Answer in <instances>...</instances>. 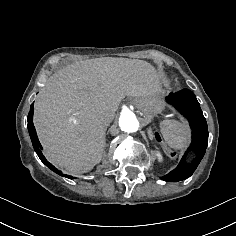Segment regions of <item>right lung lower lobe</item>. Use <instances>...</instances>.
<instances>
[{
  "mask_svg": "<svg viewBox=\"0 0 236 236\" xmlns=\"http://www.w3.org/2000/svg\"><path fill=\"white\" fill-rule=\"evenodd\" d=\"M33 111H34V103L31 104L30 107V112L28 114V130H29V134H30V138L33 144V147L37 153V155L39 156L40 160L48 167L50 168L52 171L56 172L57 174L61 175L60 171H58L54 166H52L43 156L41 149L42 146L38 140V137L36 135V131H35V127L33 125ZM65 176L67 178H73L67 175H62Z\"/></svg>",
  "mask_w": 236,
  "mask_h": 236,
  "instance_id": "right-lung-lower-lobe-1",
  "label": "right lung lower lobe"
}]
</instances>
